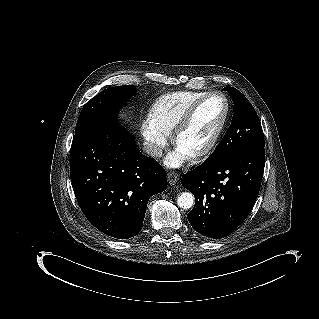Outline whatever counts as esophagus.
<instances>
[{"instance_id": "1", "label": "esophagus", "mask_w": 319, "mask_h": 319, "mask_svg": "<svg viewBox=\"0 0 319 319\" xmlns=\"http://www.w3.org/2000/svg\"><path fill=\"white\" fill-rule=\"evenodd\" d=\"M167 180L170 185H175L179 181V175L175 172H169L167 174Z\"/></svg>"}]
</instances>
